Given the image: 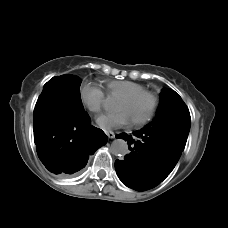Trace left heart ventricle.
I'll return each instance as SVG.
<instances>
[{
    "mask_svg": "<svg viewBox=\"0 0 228 228\" xmlns=\"http://www.w3.org/2000/svg\"><path fill=\"white\" fill-rule=\"evenodd\" d=\"M149 99L144 98L142 100H140L135 106H134V112L136 115H141L143 114L148 106H149Z\"/></svg>",
    "mask_w": 228,
    "mask_h": 228,
    "instance_id": "obj_1",
    "label": "left heart ventricle"
}]
</instances>
